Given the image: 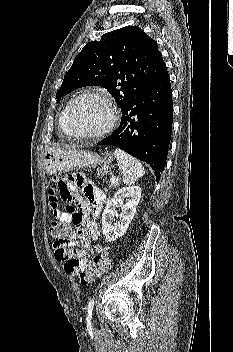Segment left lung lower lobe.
<instances>
[{"mask_svg":"<svg viewBox=\"0 0 233 352\" xmlns=\"http://www.w3.org/2000/svg\"><path fill=\"white\" fill-rule=\"evenodd\" d=\"M173 102L167 69L122 109L120 126L100 145L121 148L153 170L162 172L167 159ZM157 181L160 174L155 173Z\"/></svg>","mask_w":233,"mask_h":352,"instance_id":"0a47b994","label":"left lung lower lobe"}]
</instances>
